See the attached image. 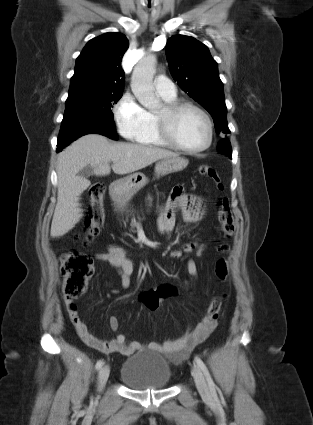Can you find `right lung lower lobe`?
<instances>
[{
  "label": "right lung lower lobe",
  "instance_id": "obj_1",
  "mask_svg": "<svg viewBox=\"0 0 313 425\" xmlns=\"http://www.w3.org/2000/svg\"><path fill=\"white\" fill-rule=\"evenodd\" d=\"M97 133L111 139H118L113 119L104 118L100 114H89L71 111L64 115L57 144V152L86 134Z\"/></svg>",
  "mask_w": 313,
  "mask_h": 425
}]
</instances>
